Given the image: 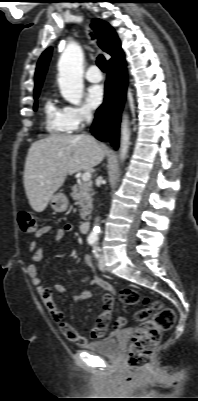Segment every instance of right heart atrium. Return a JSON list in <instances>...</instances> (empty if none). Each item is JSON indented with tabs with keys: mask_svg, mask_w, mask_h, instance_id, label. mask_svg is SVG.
<instances>
[{
	"mask_svg": "<svg viewBox=\"0 0 198 401\" xmlns=\"http://www.w3.org/2000/svg\"><path fill=\"white\" fill-rule=\"evenodd\" d=\"M65 118L73 130H78L94 118V111L87 105H67L64 108Z\"/></svg>",
	"mask_w": 198,
	"mask_h": 401,
	"instance_id": "1",
	"label": "right heart atrium"
}]
</instances>
